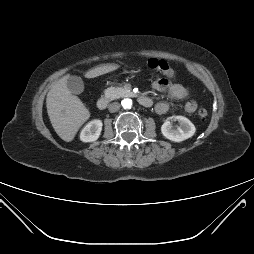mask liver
I'll return each mask as SVG.
<instances>
[{
  "instance_id": "liver-1",
  "label": "liver",
  "mask_w": 254,
  "mask_h": 254,
  "mask_svg": "<svg viewBox=\"0 0 254 254\" xmlns=\"http://www.w3.org/2000/svg\"><path fill=\"white\" fill-rule=\"evenodd\" d=\"M118 64H106L86 72V78H95L118 69ZM59 79L47 94L46 107L51 124L58 136L70 142L79 128L89 119L90 113L82 101L67 88V79Z\"/></svg>"
}]
</instances>
